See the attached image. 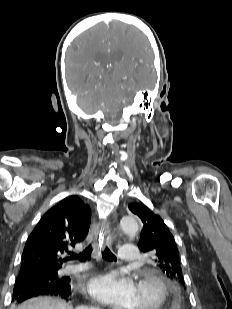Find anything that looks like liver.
<instances>
[{
    "label": "liver",
    "mask_w": 232,
    "mask_h": 309,
    "mask_svg": "<svg viewBox=\"0 0 232 309\" xmlns=\"http://www.w3.org/2000/svg\"><path fill=\"white\" fill-rule=\"evenodd\" d=\"M17 309H73V307L61 299L51 297H36L27 300L18 306Z\"/></svg>",
    "instance_id": "liver-1"
}]
</instances>
